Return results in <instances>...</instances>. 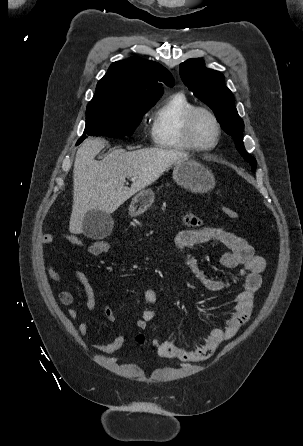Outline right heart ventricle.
<instances>
[{"mask_svg":"<svg viewBox=\"0 0 303 446\" xmlns=\"http://www.w3.org/2000/svg\"><path fill=\"white\" fill-rule=\"evenodd\" d=\"M194 107L183 92L167 97L152 118L150 135L153 144L168 150H191L183 137L182 129L186 114Z\"/></svg>","mask_w":303,"mask_h":446,"instance_id":"1","label":"right heart ventricle"}]
</instances>
